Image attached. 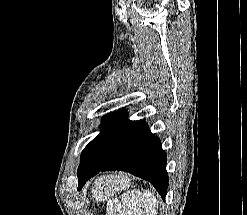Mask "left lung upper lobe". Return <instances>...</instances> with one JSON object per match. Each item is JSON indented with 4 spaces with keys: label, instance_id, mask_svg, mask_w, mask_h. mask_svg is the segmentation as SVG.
<instances>
[{
    "label": "left lung upper lobe",
    "instance_id": "obj_1",
    "mask_svg": "<svg viewBox=\"0 0 247 215\" xmlns=\"http://www.w3.org/2000/svg\"><path fill=\"white\" fill-rule=\"evenodd\" d=\"M123 114H124V111L123 110H119V111H117L115 113H111L109 115H106L103 118L102 124L100 125L101 132H100L99 135H101L104 131H106L108 128H110Z\"/></svg>",
    "mask_w": 247,
    "mask_h": 215
}]
</instances>
